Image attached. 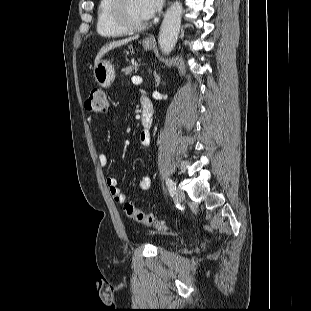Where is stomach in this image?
Wrapping results in <instances>:
<instances>
[{
	"mask_svg": "<svg viewBox=\"0 0 311 311\" xmlns=\"http://www.w3.org/2000/svg\"><path fill=\"white\" fill-rule=\"evenodd\" d=\"M143 48L150 50L153 47V43L148 39L143 40ZM95 81L102 87H109L115 79V69L113 65L107 60H100L93 68Z\"/></svg>",
	"mask_w": 311,
	"mask_h": 311,
	"instance_id": "1",
	"label": "stomach"
}]
</instances>
